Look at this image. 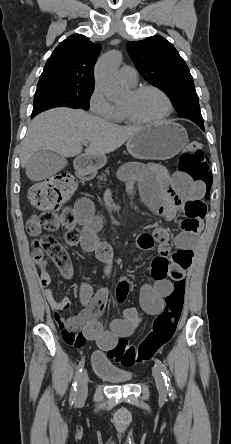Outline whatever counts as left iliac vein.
<instances>
[{"mask_svg": "<svg viewBox=\"0 0 231 444\" xmlns=\"http://www.w3.org/2000/svg\"><path fill=\"white\" fill-rule=\"evenodd\" d=\"M152 373H153V377H154L155 384H156L159 394L161 396H165L166 387H165L164 377L161 374L160 369L157 366H153Z\"/></svg>", "mask_w": 231, "mask_h": 444, "instance_id": "obj_1", "label": "left iliac vein"}]
</instances>
